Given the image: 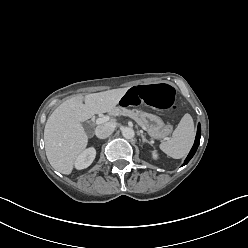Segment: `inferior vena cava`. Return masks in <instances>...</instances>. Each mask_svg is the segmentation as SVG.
Masks as SVG:
<instances>
[{
	"mask_svg": "<svg viewBox=\"0 0 248 248\" xmlns=\"http://www.w3.org/2000/svg\"><path fill=\"white\" fill-rule=\"evenodd\" d=\"M115 126L112 123H105L103 125H99L95 129V135L99 139H105L109 137L114 132Z\"/></svg>",
	"mask_w": 248,
	"mask_h": 248,
	"instance_id": "1",
	"label": "inferior vena cava"
}]
</instances>
